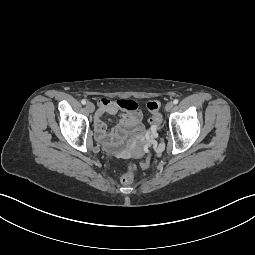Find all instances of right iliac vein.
Segmentation results:
<instances>
[{
  "instance_id": "obj_1",
  "label": "right iliac vein",
  "mask_w": 255,
  "mask_h": 255,
  "mask_svg": "<svg viewBox=\"0 0 255 255\" xmlns=\"http://www.w3.org/2000/svg\"><path fill=\"white\" fill-rule=\"evenodd\" d=\"M86 109H87L90 113H93L94 110H95V106H94L93 103L87 102V104H86Z\"/></svg>"
}]
</instances>
